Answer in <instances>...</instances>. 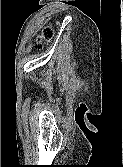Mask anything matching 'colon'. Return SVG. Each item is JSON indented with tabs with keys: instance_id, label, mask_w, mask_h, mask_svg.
I'll return each mask as SVG.
<instances>
[{
	"instance_id": "colon-1",
	"label": "colon",
	"mask_w": 123,
	"mask_h": 167,
	"mask_svg": "<svg viewBox=\"0 0 123 167\" xmlns=\"http://www.w3.org/2000/svg\"><path fill=\"white\" fill-rule=\"evenodd\" d=\"M55 34L54 27L52 25H47L42 29V32L38 38L37 45L42 46L45 43L52 41Z\"/></svg>"
}]
</instances>
